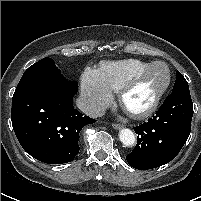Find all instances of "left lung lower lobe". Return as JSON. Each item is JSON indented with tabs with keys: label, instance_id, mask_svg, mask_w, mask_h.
<instances>
[{
	"label": "left lung lower lobe",
	"instance_id": "obj_1",
	"mask_svg": "<svg viewBox=\"0 0 201 201\" xmlns=\"http://www.w3.org/2000/svg\"><path fill=\"white\" fill-rule=\"evenodd\" d=\"M192 116L189 89L173 91L148 122L134 127L137 145L126 156L129 165L147 170L174 159L189 137Z\"/></svg>",
	"mask_w": 201,
	"mask_h": 201
}]
</instances>
